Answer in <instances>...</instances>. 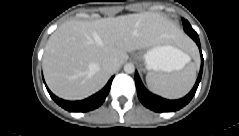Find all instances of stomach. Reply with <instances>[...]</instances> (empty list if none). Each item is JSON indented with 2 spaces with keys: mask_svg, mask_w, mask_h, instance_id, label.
<instances>
[{
  "mask_svg": "<svg viewBox=\"0 0 239 136\" xmlns=\"http://www.w3.org/2000/svg\"><path fill=\"white\" fill-rule=\"evenodd\" d=\"M187 54L177 47L163 43L149 48L145 53L135 56L143 60L147 70L154 72H173L182 69L187 62Z\"/></svg>",
  "mask_w": 239,
  "mask_h": 136,
  "instance_id": "obj_1",
  "label": "stomach"
}]
</instances>
